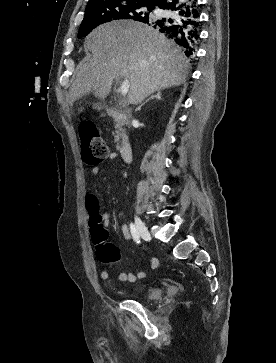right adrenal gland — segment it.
I'll use <instances>...</instances> for the list:
<instances>
[{"mask_svg":"<svg viewBox=\"0 0 276 363\" xmlns=\"http://www.w3.org/2000/svg\"><path fill=\"white\" fill-rule=\"evenodd\" d=\"M156 98L157 100H161V92L158 91L155 95H152L150 98H148L144 103H142L139 107L136 108L135 111H140L141 107L145 105L150 99Z\"/></svg>","mask_w":276,"mask_h":363,"instance_id":"obj_1","label":"right adrenal gland"}]
</instances>
